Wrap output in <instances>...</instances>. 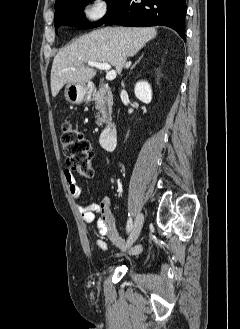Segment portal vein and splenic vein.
<instances>
[{"instance_id":"portal-vein-and-splenic-vein-1","label":"portal vein and splenic vein","mask_w":240,"mask_h":329,"mask_svg":"<svg viewBox=\"0 0 240 329\" xmlns=\"http://www.w3.org/2000/svg\"><path fill=\"white\" fill-rule=\"evenodd\" d=\"M87 65L90 67H96L101 70H108V72L106 74V79L109 81L114 80L116 78V71L111 70V65L108 63L89 61V62H87ZM72 70H75V68H72Z\"/></svg>"}]
</instances>
